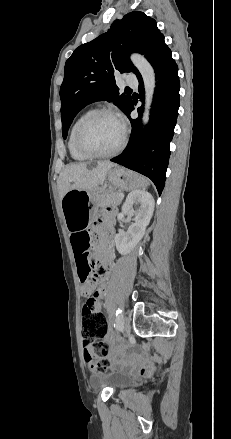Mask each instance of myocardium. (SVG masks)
Listing matches in <instances>:
<instances>
[{
  "label": "myocardium",
  "mask_w": 231,
  "mask_h": 439,
  "mask_svg": "<svg viewBox=\"0 0 231 439\" xmlns=\"http://www.w3.org/2000/svg\"><path fill=\"white\" fill-rule=\"evenodd\" d=\"M102 116H108L111 118H114L117 120L121 126H122V138L120 143L116 148H114L112 151L107 153H97L92 150H90L83 142V133L87 126L93 122L95 119L102 117ZM127 143V128L126 126L121 122L119 116L109 109H99L92 111L89 115H87L78 125L76 132H75V145L77 149L86 155L88 158H96V159H105V158H111L119 154L126 146Z\"/></svg>",
  "instance_id": "f54148a6"
}]
</instances>
